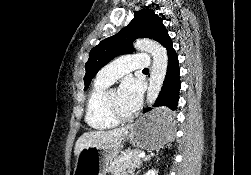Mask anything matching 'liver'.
Instances as JSON below:
<instances>
[{
    "mask_svg": "<svg viewBox=\"0 0 251 175\" xmlns=\"http://www.w3.org/2000/svg\"><path fill=\"white\" fill-rule=\"evenodd\" d=\"M128 129H130V125L110 129V131H86V133L78 137L75 143L74 155L77 157L82 147H90V145H100V147L118 145V143H121L124 135L128 133Z\"/></svg>",
    "mask_w": 251,
    "mask_h": 175,
    "instance_id": "liver-1",
    "label": "liver"
}]
</instances>
